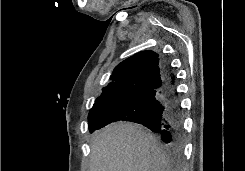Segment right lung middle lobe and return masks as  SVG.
<instances>
[{
    "instance_id": "1",
    "label": "right lung middle lobe",
    "mask_w": 245,
    "mask_h": 171,
    "mask_svg": "<svg viewBox=\"0 0 245 171\" xmlns=\"http://www.w3.org/2000/svg\"><path fill=\"white\" fill-rule=\"evenodd\" d=\"M124 100L125 99L123 97H116L98 103L95 102L88 117L90 132H92L102 122V120Z\"/></svg>"
}]
</instances>
